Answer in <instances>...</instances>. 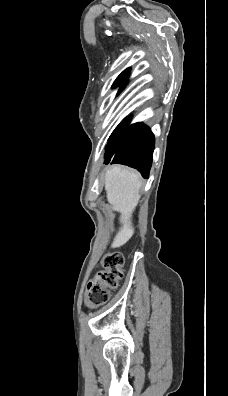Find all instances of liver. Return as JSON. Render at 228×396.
I'll use <instances>...</instances> for the list:
<instances>
[{
  "label": "liver",
  "mask_w": 228,
  "mask_h": 396,
  "mask_svg": "<svg viewBox=\"0 0 228 396\" xmlns=\"http://www.w3.org/2000/svg\"><path fill=\"white\" fill-rule=\"evenodd\" d=\"M141 179L137 172L121 166L110 168L105 175L107 200L112 209L120 213L121 228L112 248L124 245L134 234L132 214L140 199Z\"/></svg>",
  "instance_id": "liver-1"
}]
</instances>
